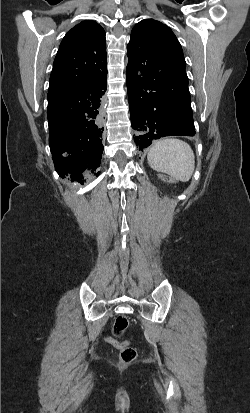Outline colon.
Listing matches in <instances>:
<instances>
[{"label":"colon","instance_id":"obj_1","mask_svg":"<svg viewBox=\"0 0 250 413\" xmlns=\"http://www.w3.org/2000/svg\"><path fill=\"white\" fill-rule=\"evenodd\" d=\"M158 178L161 180L162 183H171L173 187H178L181 184V181L178 178H176L174 174H165L164 172H159ZM128 325L129 321L126 316H117L114 320L112 327L113 335L116 338L121 337L126 331ZM106 341L119 349V362L121 364H129L135 360L137 356V351L133 346H131V344L128 341L120 343L111 337H108Z\"/></svg>","mask_w":250,"mask_h":413}]
</instances>
